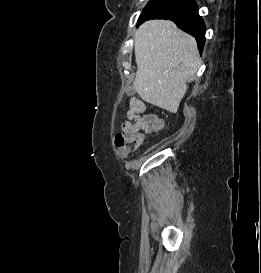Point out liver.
I'll list each match as a JSON object with an SVG mask.
<instances>
[{"label": "liver", "instance_id": "obj_1", "mask_svg": "<svg viewBox=\"0 0 261 273\" xmlns=\"http://www.w3.org/2000/svg\"><path fill=\"white\" fill-rule=\"evenodd\" d=\"M134 89L142 100L178 111L187 81L201 65L196 40L168 20H149L135 33Z\"/></svg>", "mask_w": 261, "mask_h": 273}]
</instances>
